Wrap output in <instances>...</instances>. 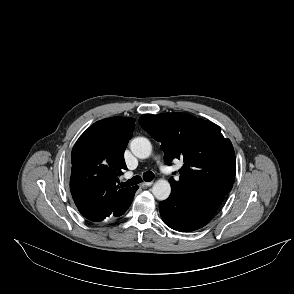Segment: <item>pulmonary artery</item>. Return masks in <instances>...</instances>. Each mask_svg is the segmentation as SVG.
<instances>
[{"label": "pulmonary artery", "instance_id": "obj_1", "mask_svg": "<svg viewBox=\"0 0 294 294\" xmlns=\"http://www.w3.org/2000/svg\"><path fill=\"white\" fill-rule=\"evenodd\" d=\"M160 169H161L163 172H168V171H169V169H168L165 165H163V164H161V163H160Z\"/></svg>", "mask_w": 294, "mask_h": 294}]
</instances>
